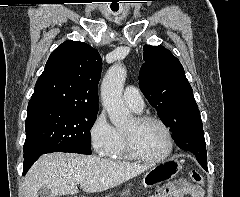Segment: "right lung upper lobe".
I'll return each mask as SVG.
<instances>
[{
  "label": "right lung upper lobe",
  "instance_id": "1",
  "mask_svg": "<svg viewBox=\"0 0 240 197\" xmlns=\"http://www.w3.org/2000/svg\"><path fill=\"white\" fill-rule=\"evenodd\" d=\"M101 56L90 45L67 40L50 55L35 84L28 112L47 109L98 110Z\"/></svg>",
  "mask_w": 240,
  "mask_h": 197
}]
</instances>
